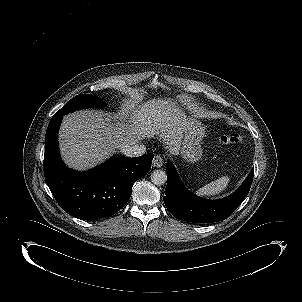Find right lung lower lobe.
I'll use <instances>...</instances> for the list:
<instances>
[{
    "mask_svg": "<svg viewBox=\"0 0 302 302\" xmlns=\"http://www.w3.org/2000/svg\"><path fill=\"white\" fill-rule=\"evenodd\" d=\"M63 116L52 118L45 136L44 174L57 203L71 216L97 220L115 214L128 202L133 184L151 169L154 154L137 158L112 157L86 172L62 162L58 130Z\"/></svg>",
    "mask_w": 302,
    "mask_h": 302,
    "instance_id": "obj_1",
    "label": "right lung lower lobe"
}]
</instances>
